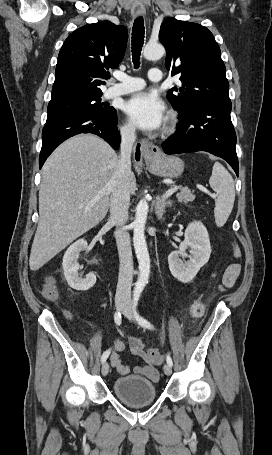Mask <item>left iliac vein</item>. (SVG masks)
I'll return each instance as SVG.
<instances>
[{
  "label": "left iliac vein",
  "mask_w": 272,
  "mask_h": 455,
  "mask_svg": "<svg viewBox=\"0 0 272 455\" xmlns=\"http://www.w3.org/2000/svg\"><path fill=\"white\" fill-rule=\"evenodd\" d=\"M122 313L128 319L135 320V311L129 299L126 300L125 306L122 309ZM164 372L167 376L171 375L172 373L171 366L168 364L164 365Z\"/></svg>",
  "instance_id": "4c4485c4"
}]
</instances>
